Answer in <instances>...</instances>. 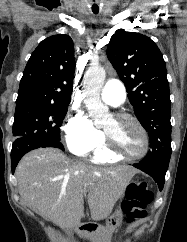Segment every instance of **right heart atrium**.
<instances>
[{
	"label": "right heart atrium",
	"instance_id": "obj_1",
	"mask_svg": "<svg viewBox=\"0 0 187 242\" xmlns=\"http://www.w3.org/2000/svg\"><path fill=\"white\" fill-rule=\"evenodd\" d=\"M63 133L67 148L77 156H87L103 143L102 133L79 110L67 115Z\"/></svg>",
	"mask_w": 187,
	"mask_h": 242
}]
</instances>
